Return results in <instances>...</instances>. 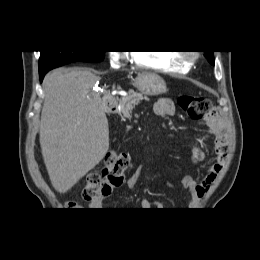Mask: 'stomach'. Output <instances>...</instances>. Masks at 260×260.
Returning <instances> with one entry per match:
<instances>
[{
  "mask_svg": "<svg viewBox=\"0 0 260 260\" xmlns=\"http://www.w3.org/2000/svg\"><path fill=\"white\" fill-rule=\"evenodd\" d=\"M133 85L140 93L148 96L161 95L167 91L164 79L152 73L139 74Z\"/></svg>",
  "mask_w": 260,
  "mask_h": 260,
  "instance_id": "1",
  "label": "stomach"
}]
</instances>
